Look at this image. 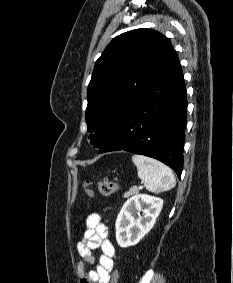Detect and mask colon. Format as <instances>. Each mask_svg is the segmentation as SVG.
Segmentation results:
<instances>
[{
	"mask_svg": "<svg viewBox=\"0 0 233 283\" xmlns=\"http://www.w3.org/2000/svg\"><path fill=\"white\" fill-rule=\"evenodd\" d=\"M96 185L99 192L104 196L112 195L113 193L117 192L119 189V184L116 181H111L108 179L99 180L96 183ZM90 186H91V182L89 181L85 182L84 189L88 199H91L93 197V191L90 188ZM118 278H119L118 271L115 269L111 274L110 283H117Z\"/></svg>",
	"mask_w": 233,
	"mask_h": 283,
	"instance_id": "colon-1",
	"label": "colon"
}]
</instances>
